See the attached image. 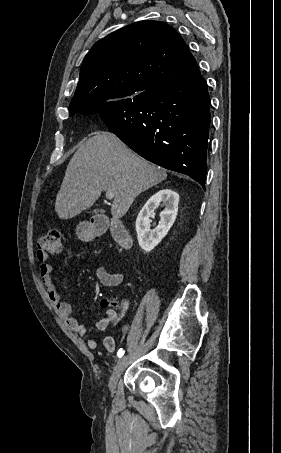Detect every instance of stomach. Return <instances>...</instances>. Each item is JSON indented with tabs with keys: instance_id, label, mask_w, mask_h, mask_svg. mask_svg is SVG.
Segmentation results:
<instances>
[{
	"instance_id": "1",
	"label": "stomach",
	"mask_w": 281,
	"mask_h": 453,
	"mask_svg": "<svg viewBox=\"0 0 281 453\" xmlns=\"http://www.w3.org/2000/svg\"><path fill=\"white\" fill-rule=\"evenodd\" d=\"M77 235L78 237H83V235H91V231H89V229H82V227H78Z\"/></svg>"
}]
</instances>
